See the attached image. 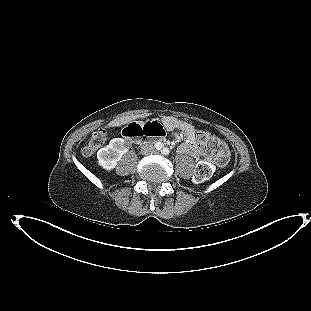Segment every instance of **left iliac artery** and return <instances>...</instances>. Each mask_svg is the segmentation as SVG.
<instances>
[{
    "mask_svg": "<svg viewBox=\"0 0 311 311\" xmlns=\"http://www.w3.org/2000/svg\"><path fill=\"white\" fill-rule=\"evenodd\" d=\"M161 153L164 154V155H169L170 151H169L168 148L165 147V148L162 149Z\"/></svg>",
    "mask_w": 311,
    "mask_h": 311,
    "instance_id": "44dca946",
    "label": "left iliac artery"
}]
</instances>
